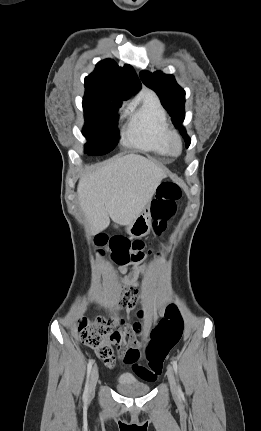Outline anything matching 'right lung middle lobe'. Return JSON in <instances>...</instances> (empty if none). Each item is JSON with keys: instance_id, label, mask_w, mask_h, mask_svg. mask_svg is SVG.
I'll return each mask as SVG.
<instances>
[{"instance_id": "obj_1", "label": "right lung middle lobe", "mask_w": 261, "mask_h": 431, "mask_svg": "<svg viewBox=\"0 0 261 431\" xmlns=\"http://www.w3.org/2000/svg\"><path fill=\"white\" fill-rule=\"evenodd\" d=\"M124 99L113 94L86 90L83 98L85 126L83 135L87 139L85 152L88 155H103L118 143L117 112Z\"/></svg>"}]
</instances>
